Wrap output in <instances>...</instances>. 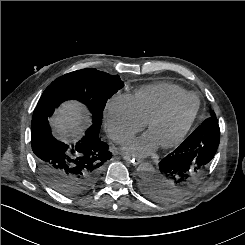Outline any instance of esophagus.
I'll return each mask as SVG.
<instances>
[{
    "label": "esophagus",
    "instance_id": "esophagus-1",
    "mask_svg": "<svg viewBox=\"0 0 245 245\" xmlns=\"http://www.w3.org/2000/svg\"><path fill=\"white\" fill-rule=\"evenodd\" d=\"M123 159L125 161H127L129 164H131L132 166H137L138 164L141 163V160L140 159H137V158H133V157H130V156H123Z\"/></svg>",
    "mask_w": 245,
    "mask_h": 245
}]
</instances>
